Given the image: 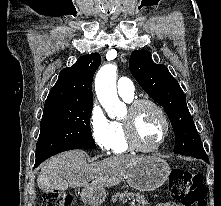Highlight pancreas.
Here are the masks:
<instances>
[{
    "mask_svg": "<svg viewBox=\"0 0 221 206\" xmlns=\"http://www.w3.org/2000/svg\"><path fill=\"white\" fill-rule=\"evenodd\" d=\"M136 198V203L134 202L133 205H139V206H145L148 204V201L145 199L144 195H140L139 193H134V192H124V193H117L114 195L111 199L112 203L116 202H123L126 203L127 201L133 199L135 200Z\"/></svg>",
    "mask_w": 221,
    "mask_h": 206,
    "instance_id": "obj_1",
    "label": "pancreas"
}]
</instances>
